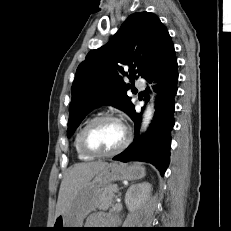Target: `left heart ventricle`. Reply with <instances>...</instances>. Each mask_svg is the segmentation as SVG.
Wrapping results in <instances>:
<instances>
[{
	"label": "left heart ventricle",
	"instance_id": "left-heart-ventricle-1",
	"mask_svg": "<svg viewBox=\"0 0 231 231\" xmlns=\"http://www.w3.org/2000/svg\"><path fill=\"white\" fill-rule=\"evenodd\" d=\"M124 138L125 131L121 124L115 121H105L90 130L87 143L97 152H108L117 148Z\"/></svg>",
	"mask_w": 231,
	"mask_h": 231
}]
</instances>
